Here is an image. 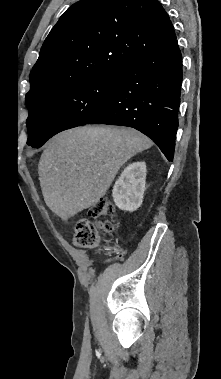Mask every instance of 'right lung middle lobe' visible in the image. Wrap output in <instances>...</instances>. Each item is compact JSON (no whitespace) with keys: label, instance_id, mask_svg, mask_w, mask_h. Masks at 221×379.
I'll use <instances>...</instances> for the list:
<instances>
[{"label":"right lung middle lobe","instance_id":"dd1d6c3e","mask_svg":"<svg viewBox=\"0 0 221 379\" xmlns=\"http://www.w3.org/2000/svg\"><path fill=\"white\" fill-rule=\"evenodd\" d=\"M119 70L55 87L29 101L27 144L38 148L56 133L88 124L113 97Z\"/></svg>","mask_w":221,"mask_h":379}]
</instances>
